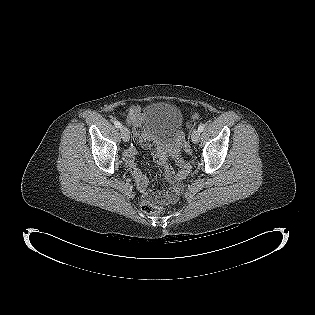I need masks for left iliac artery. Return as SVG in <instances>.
Here are the masks:
<instances>
[{"label": "left iliac artery", "instance_id": "left-iliac-artery-1", "mask_svg": "<svg viewBox=\"0 0 315 315\" xmlns=\"http://www.w3.org/2000/svg\"><path fill=\"white\" fill-rule=\"evenodd\" d=\"M204 128H205V125L204 124H200L199 127H198V130L200 132H202L204 130Z\"/></svg>", "mask_w": 315, "mask_h": 315}]
</instances>
